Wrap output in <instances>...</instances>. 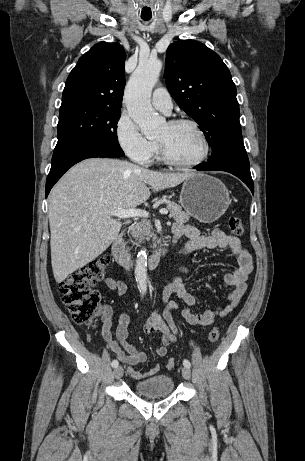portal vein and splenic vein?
<instances>
[{
	"label": "portal vein and splenic vein",
	"mask_w": 305,
	"mask_h": 461,
	"mask_svg": "<svg viewBox=\"0 0 305 461\" xmlns=\"http://www.w3.org/2000/svg\"><path fill=\"white\" fill-rule=\"evenodd\" d=\"M160 214L162 215H167L168 210L166 209H161ZM111 216L117 217V218H130V217H142V218H147L149 216V213L145 210L142 209H122L118 208L115 211L111 213Z\"/></svg>",
	"instance_id": "1"
}]
</instances>
